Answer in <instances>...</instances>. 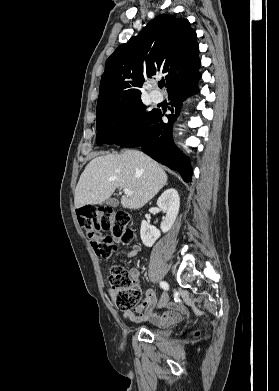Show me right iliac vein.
Wrapping results in <instances>:
<instances>
[{
    "mask_svg": "<svg viewBox=\"0 0 279 391\" xmlns=\"http://www.w3.org/2000/svg\"><path fill=\"white\" fill-rule=\"evenodd\" d=\"M168 300H169L168 293H163V295L161 296L160 302L158 304V307H160V308L164 307L165 304L168 302Z\"/></svg>",
    "mask_w": 279,
    "mask_h": 391,
    "instance_id": "obj_1",
    "label": "right iliac vein"
}]
</instances>
